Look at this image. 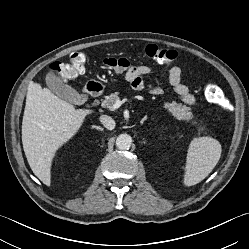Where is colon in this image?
<instances>
[{"mask_svg": "<svg viewBox=\"0 0 249 249\" xmlns=\"http://www.w3.org/2000/svg\"><path fill=\"white\" fill-rule=\"evenodd\" d=\"M145 55L160 64H171L176 59V52L171 49L161 48L156 45H147L144 48ZM86 55L84 52H73L64 62H55L50 68L63 81L78 78L85 71ZM104 64L116 70H122L127 63L120 59H105ZM206 99L216 105L223 107L224 95L222 90L215 84L209 82L204 86Z\"/></svg>", "mask_w": 249, "mask_h": 249, "instance_id": "1", "label": "colon"}]
</instances>
